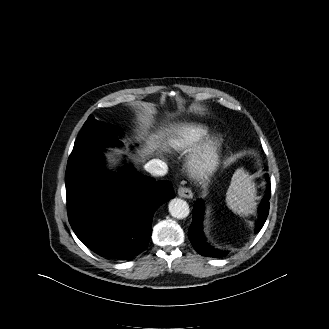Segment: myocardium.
<instances>
[{"mask_svg":"<svg viewBox=\"0 0 329 329\" xmlns=\"http://www.w3.org/2000/svg\"><path fill=\"white\" fill-rule=\"evenodd\" d=\"M223 142L218 136H211L200 143L190 155L187 163L189 174L204 179L213 174L221 161Z\"/></svg>","mask_w":329,"mask_h":329,"instance_id":"1","label":"myocardium"}]
</instances>
